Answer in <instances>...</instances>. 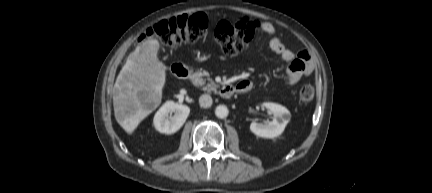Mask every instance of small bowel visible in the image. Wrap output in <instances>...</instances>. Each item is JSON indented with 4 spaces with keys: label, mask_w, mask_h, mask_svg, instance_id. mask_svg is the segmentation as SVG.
<instances>
[{
    "label": "small bowel",
    "mask_w": 432,
    "mask_h": 193,
    "mask_svg": "<svg viewBox=\"0 0 432 193\" xmlns=\"http://www.w3.org/2000/svg\"><path fill=\"white\" fill-rule=\"evenodd\" d=\"M253 31H261L266 34L269 40L270 49L276 53L284 62L288 63L286 71L287 84L295 85L302 77L307 76L314 70V64L307 51L293 52L287 48L282 41L276 36L275 26L266 21H248ZM237 92L245 93L251 90L252 83L248 80H243L237 85Z\"/></svg>",
    "instance_id": "small-bowel-1"
}]
</instances>
